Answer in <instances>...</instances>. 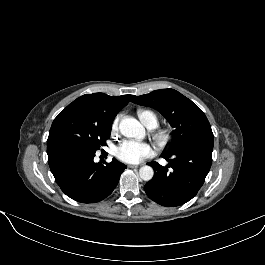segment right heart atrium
I'll use <instances>...</instances> for the list:
<instances>
[{"instance_id":"obj_1","label":"right heart atrium","mask_w":265,"mask_h":265,"mask_svg":"<svg viewBox=\"0 0 265 265\" xmlns=\"http://www.w3.org/2000/svg\"><path fill=\"white\" fill-rule=\"evenodd\" d=\"M118 125H119V117H116L113 122H112V126L111 129L113 132L118 130Z\"/></svg>"}]
</instances>
